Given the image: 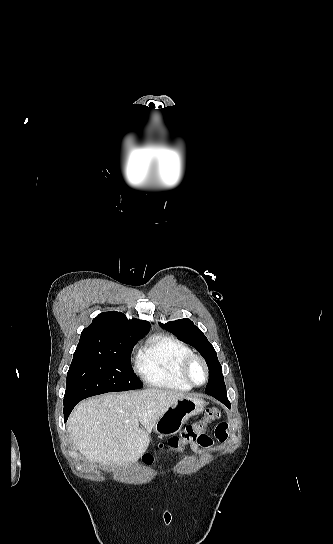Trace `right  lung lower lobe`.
<instances>
[{
	"label": "right lung lower lobe",
	"instance_id": "1",
	"mask_svg": "<svg viewBox=\"0 0 333 544\" xmlns=\"http://www.w3.org/2000/svg\"><path fill=\"white\" fill-rule=\"evenodd\" d=\"M78 402H64V421L68 419V416L70 415L72 409L75 407V405Z\"/></svg>",
	"mask_w": 333,
	"mask_h": 544
}]
</instances>
